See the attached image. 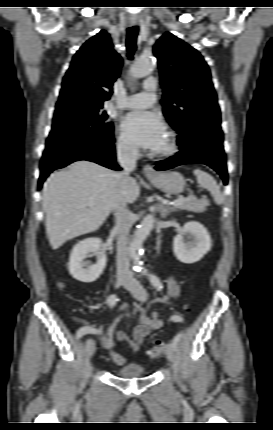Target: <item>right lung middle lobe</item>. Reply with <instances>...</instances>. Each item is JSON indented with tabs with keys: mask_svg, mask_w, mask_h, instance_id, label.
<instances>
[{
	"mask_svg": "<svg viewBox=\"0 0 273 430\" xmlns=\"http://www.w3.org/2000/svg\"><path fill=\"white\" fill-rule=\"evenodd\" d=\"M102 106L76 101L57 107L52 131L43 155L88 143L107 144L113 140V124Z\"/></svg>",
	"mask_w": 273,
	"mask_h": 430,
	"instance_id": "dd1d6c3e",
	"label": "right lung middle lobe"
}]
</instances>
